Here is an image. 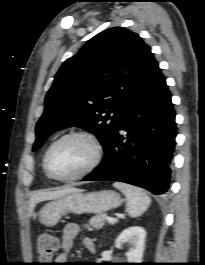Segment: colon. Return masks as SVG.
<instances>
[{
  "instance_id": "1",
  "label": "colon",
  "mask_w": 205,
  "mask_h": 265,
  "mask_svg": "<svg viewBox=\"0 0 205 265\" xmlns=\"http://www.w3.org/2000/svg\"><path fill=\"white\" fill-rule=\"evenodd\" d=\"M37 254L42 264H50L59 250V241L52 234L43 232L37 237Z\"/></svg>"
}]
</instances>
